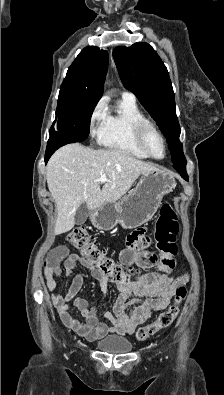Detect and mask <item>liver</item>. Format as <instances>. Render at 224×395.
<instances>
[{
    "label": "liver",
    "mask_w": 224,
    "mask_h": 395,
    "mask_svg": "<svg viewBox=\"0 0 224 395\" xmlns=\"http://www.w3.org/2000/svg\"><path fill=\"white\" fill-rule=\"evenodd\" d=\"M154 165L117 149H92L78 143L58 149L47 164V184L55 201V235L70 231L76 210L86 203L94 211L105 203L117 202L137 178L156 170ZM106 181L101 189L100 177Z\"/></svg>",
    "instance_id": "1"
}]
</instances>
